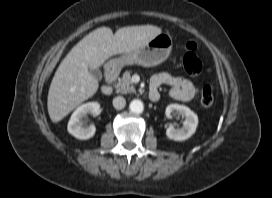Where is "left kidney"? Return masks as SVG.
Listing matches in <instances>:
<instances>
[{
    "label": "left kidney",
    "mask_w": 272,
    "mask_h": 198,
    "mask_svg": "<svg viewBox=\"0 0 272 198\" xmlns=\"http://www.w3.org/2000/svg\"><path fill=\"white\" fill-rule=\"evenodd\" d=\"M165 114L168 118L172 115H181L185 117L183 127L175 129L169 126L166 130V136L175 141H184L190 138L198 126V116L188 107L180 104H170L167 106Z\"/></svg>",
    "instance_id": "5707ae66"
}]
</instances>
